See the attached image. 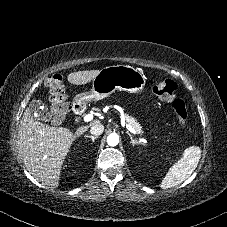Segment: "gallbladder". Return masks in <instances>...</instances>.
Instances as JSON below:
<instances>
[{
  "instance_id": "gallbladder-1",
  "label": "gallbladder",
  "mask_w": 227,
  "mask_h": 227,
  "mask_svg": "<svg viewBox=\"0 0 227 227\" xmlns=\"http://www.w3.org/2000/svg\"><path fill=\"white\" fill-rule=\"evenodd\" d=\"M32 117L38 121H46L48 118L47 106L40 100H32L29 104Z\"/></svg>"
}]
</instances>
